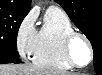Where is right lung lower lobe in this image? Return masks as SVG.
I'll return each mask as SVG.
<instances>
[{
  "instance_id": "obj_1",
  "label": "right lung lower lobe",
  "mask_w": 102,
  "mask_h": 75,
  "mask_svg": "<svg viewBox=\"0 0 102 75\" xmlns=\"http://www.w3.org/2000/svg\"><path fill=\"white\" fill-rule=\"evenodd\" d=\"M7 63H21V60L17 56L12 55H2L0 56V64H7Z\"/></svg>"
}]
</instances>
